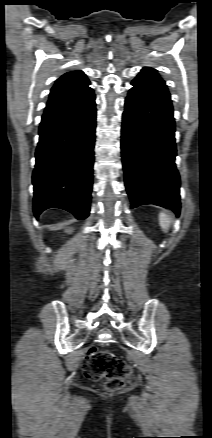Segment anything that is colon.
I'll use <instances>...</instances> for the list:
<instances>
[{"mask_svg":"<svg viewBox=\"0 0 212 438\" xmlns=\"http://www.w3.org/2000/svg\"><path fill=\"white\" fill-rule=\"evenodd\" d=\"M83 371L91 380H105L108 390H117L133 381L131 367L107 350L91 348L85 358Z\"/></svg>","mask_w":212,"mask_h":438,"instance_id":"obj_1","label":"colon"}]
</instances>
